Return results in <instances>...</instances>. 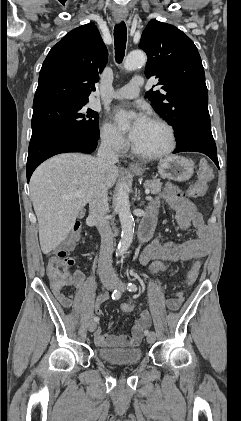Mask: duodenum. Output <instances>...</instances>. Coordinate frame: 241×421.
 <instances>
[{
	"label": "duodenum",
	"instance_id": "duodenum-1",
	"mask_svg": "<svg viewBox=\"0 0 241 421\" xmlns=\"http://www.w3.org/2000/svg\"><path fill=\"white\" fill-rule=\"evenodd\" d=\"M155 217L148 216L143 220L139 227L138 237L140 242H146L152 233V229L154 227Z\"/></svg>",
	"mask_w": 241,
	"mask_h": 421
}]
</instances>
